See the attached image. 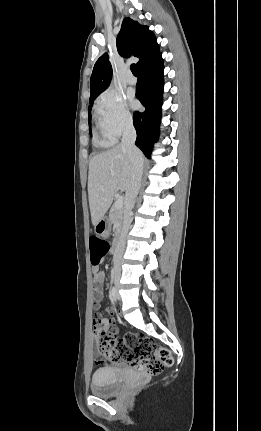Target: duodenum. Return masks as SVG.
<instances>
[{
    "instance_id": "410a0bca",
    "label": "duodenum",
    "mask_w": 261,
    "mask_h": 431,
    "mask_svg": "<svg viewBox=\"0 0 261 431\" xmlns=\"http://www.w3.org/2000/svg\"><path fill=\"white\" fill-rule=\"evenodd\" d=\"M119 245V238L114 242V248H117Z\"/></svg>"
}]
</instances>
